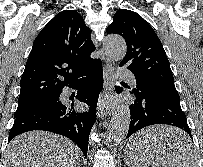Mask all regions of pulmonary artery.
<instances>
[{
    "instance_id": "e3ab8cb5",
    "label": "pulmonary artery",
    "mask_w": 203,
    "mask_h": 167,
    "mask_svg": "<svg viewBox=\"0 0 203 167\" xmlns=\"http://www.w3.org/2000/svg\"><path fill=\"white\" fill-rule=\"evenodd\" d=\"M118 74H119L120 77L127 79L131 83L136 82V77L134 76V74L130 70L126 69V68L120 69Z\"/></svg>"
}]
</instances>
